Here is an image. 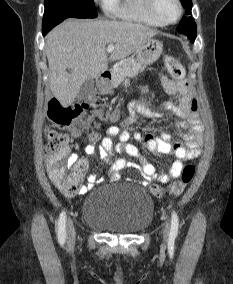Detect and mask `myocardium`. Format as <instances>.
Wrapping results in <instances>:
<instances>
[{"instance_id":"1","label":"myocardium","mask_w":233,"mask_h":284,"mask_svg":"<svg viewBox=\"0 0 233 284\" xmlns=\"http://www.w3.org/2000/svg\"><path fill=\"white\" fill-rule=\"evenodd\" d=\"M157 2L158 0H147V7L148 10L150 12V14L152 15V17L162 26H168V25H172L175 24L176 22L179 21V19L181 18L182 14H183V6L181 3V0H174V2L177 5V15L176 17L172 20V21H165L163 20L157 10Z\"/></svg>"}]
</instances>
